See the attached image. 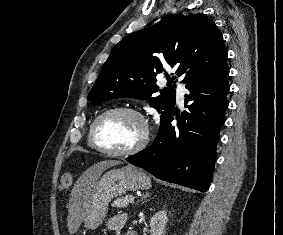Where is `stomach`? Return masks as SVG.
<instances>
[{
	"instance_id": "1",
	"label": "stomach",
	"mask_w": 283,
	"mask_h": 235,
	"mask_svg": "<svg viewBox=\"0 0 283 235\" xmlns=\"http://www.w3.org/2000/svg\"><path fill=\"white\" fill-rule=\"evenodd\" d=\"M150 186V179L135 166L127 165L106 171L93 186L86 203L84 221L87 228L99 227L106 216L111 199L127 191L147 189Z\"/></svg>"
}]
</instances>
